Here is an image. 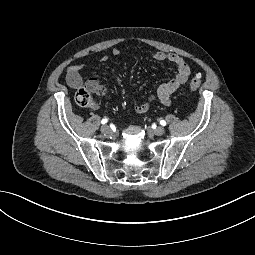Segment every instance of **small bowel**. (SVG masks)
<instances>
[{
    "instance_id": "small-bowel-1",
    "label": "small bowel",
    "mask_w": 255,
    "mask_h": 255,
    "mask_svg": "<svg viewBox=\"0 0 255 255\" xmlns=\"http://www.w3.org/2000/svg\"><path fill=\"white\" fill-rule=\"evenodd\" d=\"M121 51L118 48L112 50L113 56H119ZM152 59L156 61H168L176 69L174 77L166 83L161 84L157 90L147 97L146 102L137 104L135 110L137 113H145L149 110L152 102H159L164 105L171 103L174 93L184 85L190 75V67L185 59L175 53L155 52L151 55ZM108 56H103L101 62H106ZM83 64L73 65L68 68L66 74V81L68 85L73 89H78L84 85V79L82 76ZM86 85L93 89L99 96H105L107 89L100 84L97 78H90L86 81Z\"/></svg>"
}]
</instances>
